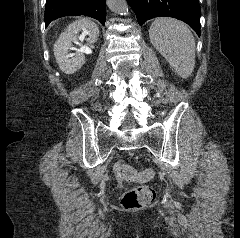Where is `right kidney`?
I'll return each mask as SVG.
<instances>
[{
	"mask_svg": "<svg viewBox=\"0 0 240 238\" xmlns=\"http://www.w3.org/2000/svg\"><path fill=\"white\" fill-rule=\"evenodd\" d=\"M83 31L88 35L87 42L93 44L99 36L98 26L87 18H81L68 25L67 29L59 36L54 44V55L60 69L65 74H73L79 70L85 62L83 53L91 50L88 47H82L76 53H69L73 48V43H77V35Z\"/></svg>",
	"mask_w": 240,
	"mask_h": 238,
	"instance_id": "obj_1",
	"label": "right kidney"
}]
</instances>
